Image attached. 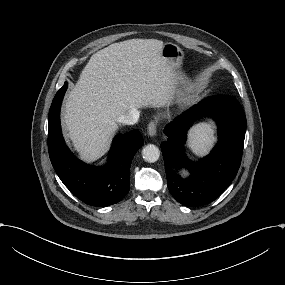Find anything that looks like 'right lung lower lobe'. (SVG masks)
I'll return each instance as SVG.
<instances>
[{"label":"right lung lower lobe","instance_id":"1","mask_svg":"<svg viewBox=\"0 0 285 285\" xmlns=\"http://www.w3.org/2000/svg\"><path fill=\"white\" fill-rule=\"evenodd\" d=\"M68 83L56 93L48 121V151L51 163L64 185L81 201L92 206L119 202L130 189V165L143 145L135 129L114 138L108 163L91 167L78 160L65 145L60 126V107Z\"/></svg>","mask_w":285,"mask_h":285}]
</instances>
